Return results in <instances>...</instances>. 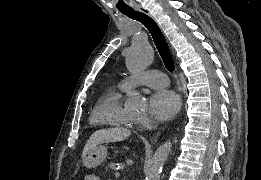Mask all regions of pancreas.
<instances>
[{
  "label": "pancreas",
  "instance_id": "pancreas-1",
  "mask_svg": "<svg viewBox=\"0 0 261 180\" xmlns=\"http://www.w3.org/2000/svg\"><path fill=\"white\" fill-rule=\"evenodd\" d=\"M113 163H114L113 159H108L107 162L105 163V165H104L105 176L113 177V174L111 172V166Z\"/></svg>",
  "mask_w": 261,
  "mask_h": 180
}]
</instances>
